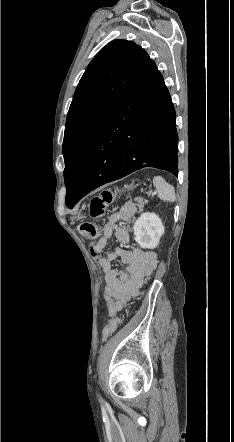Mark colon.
<instances>
[{"instance_id":"colon-1","label":"colon","mask_w":234,"mask_h":442,"mask_svg":"<svg viewBox=\"0 0 234 442\" xmlns=\"http://www.w3.org/2000/svg\"><path fill=\"white\" fill-rule=\"evenodd\" d=\"M114 199V193L110 190L103 191L100 195L94 197L90 203V215L93 219H98L103 216L106 206ZM81 234L89 240L95 241L99 237L98 227L91 222H85L80 226ZM122 323L121 317L111 319L104 327L102 336L107 339L111 336L118 326Z\"/></svg>"}]
</instances>
